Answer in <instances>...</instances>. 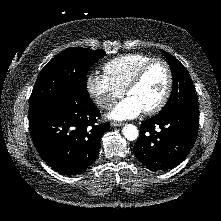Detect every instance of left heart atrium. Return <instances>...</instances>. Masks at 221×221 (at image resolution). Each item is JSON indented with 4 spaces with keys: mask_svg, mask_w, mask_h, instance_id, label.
<instances>
[{
    "mask_svg": "<svg viewBox=\"0 0 221 221\" xmlns=\"http://www.w3.org/2000/svg\"><path fill=\"white\" fill-rule=\"evenodd\" d=\"M142 112L141 107L131 97L119 102L110 112L109 117L115 120H125L137 117Z\"/></svg>",
    "mask_w": 221,
    "mask_h": 221,
    "instance_id": "1",
    "label": "left heart atrium"
}]
</instances>
